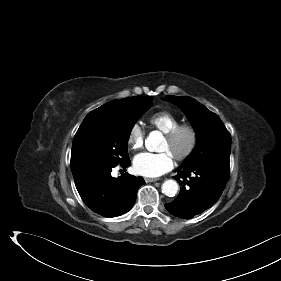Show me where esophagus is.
<instances>
[{
    "label": "esophagus",
    "mask_w": 281,
    "mask_h": 281,
    "mask_svg": "<svg viewBox=\"0 0 281 281\" xmlns=\"http://www.w3.org/2000/svg\"><path fill=\"white\" fill-rule=\"evenodd\" d=\"M158 180H160L159 178H145V181L147 182V183H149V182H156V181H158Z\"/></svg>",
    "instance_id": "34e87169"
}]
</instances>
